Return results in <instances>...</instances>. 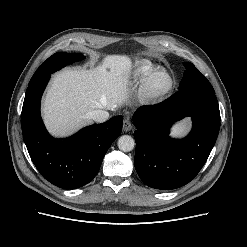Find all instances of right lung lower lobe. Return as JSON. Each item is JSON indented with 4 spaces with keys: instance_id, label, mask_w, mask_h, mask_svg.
I'll return each mask as SVG.
<instances>
[{
    "instance_id": "right-lung-lower-lobe-1",
    "label": "right lung lower lobe",
    "mask_w": 247,
    "mask_h": 247,
    "mask_svg": "<svg viewBox=\"0 0 247 247\" xmlns=\"http://www.w3.org/2000/svg\"><path fill=\"white\" fill-rule=\"evenodd\" d=\"M50 75L29 83L21 113L23 138L34 165L46 180L60 188L76 189L98 173L107 150L121 134L123 117L86 127L65 140L53 138L40 116V100Z\"/></svg>"
}]
</instances>
